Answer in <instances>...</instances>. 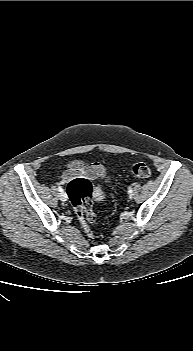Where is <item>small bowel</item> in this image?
<instances>
[{
  "label": "small bowel",
  "mask_w": 193,
  "mask_h": 351,
  "mask_svg": "<svg viewBox=\"0 0 193 351\" xmlns=\"http://www.w3.org/2000/svg\"><path fill=\"white\" fill-rule=\"evenodd\" d=\"M77 177L106 179V170L102 164L97 162L73 161L70 163L68 169L60 176L59 182L64 184Z\"/></svg>",
  "instance_id": "1"
}]
</instances>
